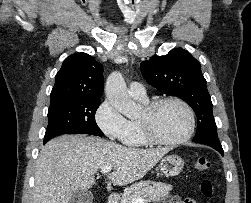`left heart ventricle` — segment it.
Wrapping results in <instances>:
<instances>
[{"instance_id":"obj_1","label":"left heart ventricle","mask_w":251,"mask_h":203,"mask_svg":"<svg viewBox=\"0 0 251 203\" xmlns=\"http://www.w3.org/2000/svg\"><path fill=\"white\" fill-rule=\"evenodd\" d=\"M143 114L140 118L143 117ZM153 129L163 139L175 140L188 130L189 117L185 109L174 102L162 105L153 116Z\"/></svg>"}]
</instances>
